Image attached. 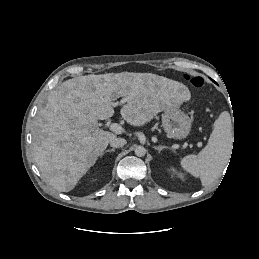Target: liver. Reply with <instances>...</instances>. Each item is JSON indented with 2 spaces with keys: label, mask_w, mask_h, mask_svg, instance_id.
I'll return each mask as SVG.
<instances>
[{
  "label": "liver",
  "mask_w": 259,
  "mask_h": 259,
  "mask_svg": "<svg viewBox=\"0 0 259 259\" xmlns=\"http://www.w3.org/2000/svg\"><path fill=\"white\" fill-rule=\"evenodd\" d=\"M183 84L152 73H106L69 79L52 90L35 118L33 149L45 181L69 192L102 155L111 132L98 120L113 116V101L127 98L120 114L127 123L142 126L159 112L189 99Z\"/></svg>",
  "instance_id": "obj_1"
}]
</instances>
